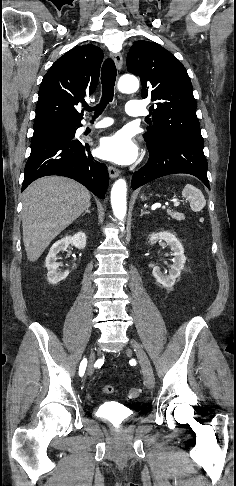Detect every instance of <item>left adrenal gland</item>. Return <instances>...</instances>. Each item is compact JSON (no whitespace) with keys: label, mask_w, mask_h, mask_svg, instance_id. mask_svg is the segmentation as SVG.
Masks as SVG:
<instances>
[{"label":"left adrenal gland","mask_w":236,"mask_h":486,"mask_svg":"<svg viewBox=\"0 0 236 486\" xmlns=\"http://www.w3.org/2000/svg\"><path fill=\"white\" fill-rule=\"evenodd\" d=\"M144 214H148V212L147 211H144L143 209H141V215L140 216H142Z\"/></svg>","instance_id":"obj_1"}]
</instances>
